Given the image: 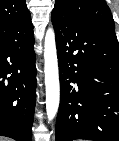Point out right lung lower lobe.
<instances>
[{"mask_svg":"<svg viewBox=\"0 0 119 141\" xmlns=\"http://www.w3.org/2000/svg\"><path fill=\"white\" fill-rule=\"evenodd\" d=\"M31 17L0 26V135L31 141L36 67Z\"/></svg>","mask_w":119,"mask_h":141,"instance_id":"98d812e1","label":"right lung lower lobe"}]
</instances>
